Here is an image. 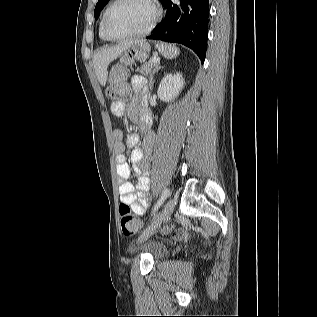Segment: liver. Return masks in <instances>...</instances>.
Segmentation results:
<instances>
[{
	"instance_id": "1",
	"label": "liver",
	"mask_w": 317,
	"mask_h": 317,
	"mask_svg": "<svg viewBox=\"0 0 317 317\" xmlns=\"http://www.w3.org/2000/svg\"><path fill=\"white\" fill-rule=\"evenodd\" d=\"M134 41L120 43L116 46L106 47L98 50L93 57V64L96 76L101 86H105L107 82L108 65L117 59L124 51L131 47Z\"/></svg>"
}]
</instances>
